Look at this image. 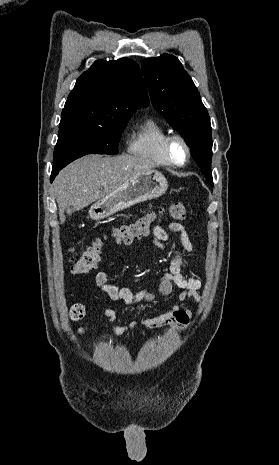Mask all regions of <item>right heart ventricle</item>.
I'll return each mask as SVG.
<instances>
[{"label":"right heart ventricle","mask_w":279,"mask_h":465,"mask_svg":"<svg viewBox=\"0 0 279 465\" xmlns=\"http://www.w3.org/2000/svg\"><path fill=\"white\" fill-rule=\"evenodd\" d=\"M170 134L168 128L157 118H146L129 142L131 154L146 158L161 166H170L165 153L164 141Z\"/></svg>","instance_id":"1"}]
</instances>
